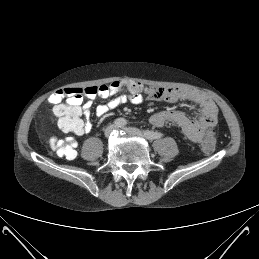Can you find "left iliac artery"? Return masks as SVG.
<instances>
[{
  "label": "left iliac artery",
  "mask_w": 259,
  "mask_h": 259,
  "mask_svg": "<svg viewBox=\"0 0 259 259\" xmlns=\"http://www.w3.org/2000/svg\"><path fill=\"white\" fill-rule=\"evenodd\" d=\"M144 132L149 133L151 135V137H152V140L159 139V138H161L163 136V134L160 133V132H154V131H150V130H145Z\"/></svg>",
  "instance_id": "1"
}]
</instances>
